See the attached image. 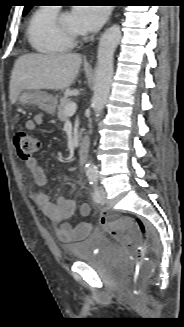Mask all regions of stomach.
<instances>
[{
    "mask_svg": "<svg viewBox=\"0 0 184 327\" xmlns=\"http://www.w3.org/2000/svg\"><path fill=\"white\" fill-rule=\"evenodd\" d=\"M17 102L23 107L36 105L50 115L55 114L57 107V99L41 90H23L19 94Z\"/></svg>",
    "mask_w": 184,
    "mask_h": 327,
    "instance_id": "1",
    "label": "stomach"
}]
</instances>
